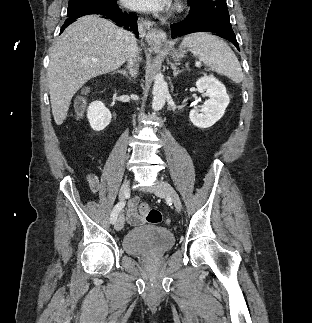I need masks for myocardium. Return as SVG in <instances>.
I'll use <instances>...</instances> for the list:
<instances>
[{
  "label": "myocardium",
  "instance_id": "1",
  "mask_svg": "<svg viewBox=\"0 0 312 323\" xmlns=\"http://www.w3.org/2000/svg\"><path fill=\"white\" fill-rule=\"evenodd\" d=\"M177 2H178V4H181V0H177ZM171 8L174 13H177V12L182 13L184 11V8H186V5H183V7L182 6L178 7V5L176 3H173L171 5Z\"/></svg>",
  "mask_w": 312,
  "mask_h": 323
}]
</instances>
